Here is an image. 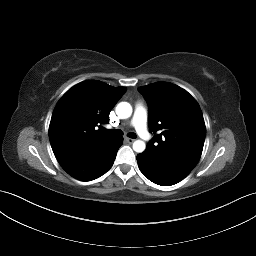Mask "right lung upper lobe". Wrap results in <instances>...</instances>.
<instances>
[{"instance_id":"obj_1","label":"right lung upper lobe","mask_w":256,"mask_h":256,"mask_svg":"<svg viewBox=\"0 0 256 256\" xmlns=\"http://www.w3.org/2000/svg\"><path fill=\"white\" fill-rule=\"evenodd\" d=\"M126 92L98 80L81 82L58 101L49 126V139L60 164L92 152L118 136L98 129L109 122V114Z\"/></svg>"}]
</instances>
